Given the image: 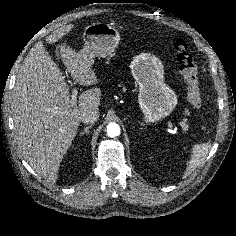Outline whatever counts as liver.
I'll return each instance as SVG.
<instances>
[{
    "label": "liver",
    "mask_w": 236,
    "mask_h": 236,
    "mask_svg": "<svg viewBox=\"0 0 236 236\" xmlns=\"http://www.w3.org/2000/svg\"><path fill=\"white\" fill-rule=\"evenodd\" d=\"M73 28L55 30L46 41L55 43ZM60 55L67 71L80 85L98 83L91 64L75 50L60 45ZM12 101L15 138L24 159L45 180L54 184L60 163L75 138L80 116L98 110L99 88L84 91L72 103L62 71L52 60L42 42L29 51L16 79Z\"/></svg>",
    "instance_id": "6515ba94"
}]
</instances>
